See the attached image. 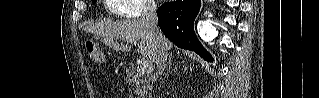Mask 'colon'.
<instances>
[{
    "mask_svg": "<svg viewBox=\"0 0 319 98\" xmlns=\"http://www.w3.org/2000/svg\"><path fill=\"white\" fill-rule=\"evenodd\" d=\"M85 49L89 58L94 63L100 64L104 62L103 52L91 39L85 41Z\"/></svg>",
    "mask_w": 319,
    "mask_h": 98,
    "instance_id": "5ec220e1",
    "label": "colon"
}]
</instances>
